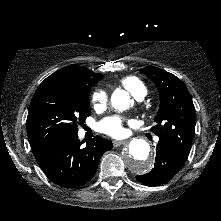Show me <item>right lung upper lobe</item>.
<instances>
[{
  "instance_id": "cb5924a9",
  "label": "right lung upper lobe",
  "mask_w": 221,
  "mask_h": 221,
  "mask_svg": "<svg viewBox=\"0 0 221 221\" xmlns=\"http://www.w3.org/2000/svg\"><path fill=\"white\" fill-rule=\"evenodd\" d=\"M99 76L102 75L100 73H93L91 70L85 67L77 65H69L53 73L47 79L86 80V79H94Z\"/></svg>"
}]
</instances>
